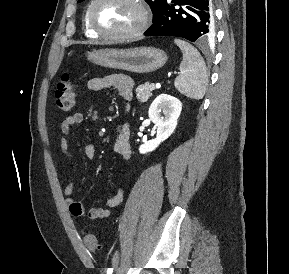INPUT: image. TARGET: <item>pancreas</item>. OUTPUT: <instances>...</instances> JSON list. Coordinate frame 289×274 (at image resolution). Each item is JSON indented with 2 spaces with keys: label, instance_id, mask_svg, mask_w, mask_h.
Wrapping results in <instances>:
<instances>
[{
  "label": "pancreas",
  "instance_id": "cf45deb5",
  "mask_svg": "<svg viewBox=\"0 0 289 274\" xmlns=\"http://www.w3.org/2000/svg\"><path fill=\"white\" fill-rule=\"evenodd\" d=\"M136 95L140 102H146L152 96L151 84L146 82L142 85H139L136 89Z\"/></svg>",
  "mask_w": 289,
  "mask_h": 274
}]
</instances>
